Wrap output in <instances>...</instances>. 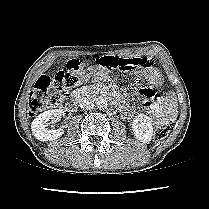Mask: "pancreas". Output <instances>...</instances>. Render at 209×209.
Returning <instances> with one entry per match:
<instances>
[{
  "mask_svg": "<svg viewBox=\"0 0 209 209\" xmlns=\"http://www.w3.org/2000/svg\"><path fill=\"white\" fill-rule=\"evenodd\" d=\"M82 94H97L99 92V88L95 85L84 86L79 90Z\"/></svg>",
  "mask_w": 209,
  "mask_h": 209,
  "instance_id": "1",
  "label": "pancreas"
}]
</instances>
